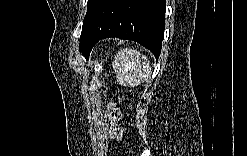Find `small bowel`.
<instances>
[{"label": "small bowel", "mask_w": 247, "mask_h": 156, "mask_svg": "<svg viewBox=\"0 0 247 156\" xmlns=\"http://www.w3.org/2000/svg\"><path fill=\"white\" fill-rule=\"evenodd\" d=\"M109 113H110L111 122L115 124L120 117L119 110L116 108L115 105L111 104L109 106ZM123 133H124V130L119 127H115L112 131L113 137H117V138L122 137Z\"/></svg>", "instance_id": "c3829d8e"}]
</instances>
